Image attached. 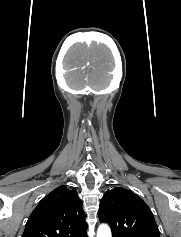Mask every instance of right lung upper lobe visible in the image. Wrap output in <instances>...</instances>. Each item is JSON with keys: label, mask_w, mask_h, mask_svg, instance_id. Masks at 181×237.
<instances>
[{"label": "right lung upper lobe", "mask_w": 181, "mask_h": 237, "mask_svg": "<svg viewBox=\"0 0 181 237\" xmlns=\"http://www.w3.org/2000/svg\"><path fill=\"white\" fill-rule=\"evenodd\" d=\"M85 217L76 190L61 185L39 202L22 237H87Z\"/></svg>", "instance_id": "right-lung-upper-lobe-1"}]
</instances>
